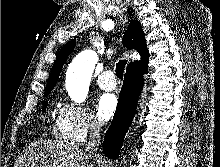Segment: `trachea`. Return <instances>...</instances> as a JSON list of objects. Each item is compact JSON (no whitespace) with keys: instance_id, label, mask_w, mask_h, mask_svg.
Returning <instances> with one entry per match:
<instances>
[{"instance_id":"trachea-1","label":"trachea","mask_w":220,"mask_h":167,"mask_svg":"<svg viewBox=\"0 0 220 167\" xmlns=\"http://www.w3.org/2000/svg\"><path fill=\"white\" fill-rule=\"evenodd\" d=\"M127 61L126 60H120L117 64H116V76L122 80L123 78V73H124V69L126 66Z\"/></svg>"}]
</instances>
